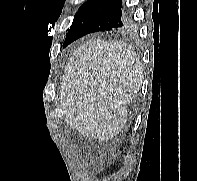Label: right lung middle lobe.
Wrapping results in <instances>:
<instances>
[{"instance_id": "dd1d6c3e", "label": "right lung middle lobe", "mask_w": 197, "mask_h": 181, "mask_svg": "<svg viewBox=\"0 0 197 181\" xmlns=\"http://www.w3.org/2000/svg\"><path fill=\"white\" fill-rule=\"evenodd\" d=\"M83 11L82 10H79L77 13H76V15H75V17H74V20H73V23L76 21V19L80 16V14L82 13ZM73 25V24H72ZM127 26H125V27H123V28H126ZM71 28V27H70ZM69 32V31H68Z\"/></svg>"}]
</instances>
